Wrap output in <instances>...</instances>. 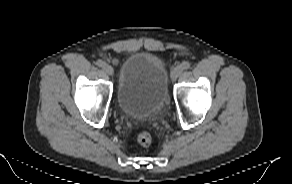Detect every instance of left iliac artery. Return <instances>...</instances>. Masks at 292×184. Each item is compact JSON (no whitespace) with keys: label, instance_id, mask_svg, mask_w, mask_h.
I'll return each instance as SVG.
<instances>
[{"label":"left iliac artery","instance_id":"left-iliac-artery-1","mask_svg":"<svg viewBox=\"0 0 292 184\" xmlns=\"http://www.w3.org/2000/svg\"><path fill=\"white\" fill-rule=\"evenodd\" d=\"M182 70L188 69L190 67V63L189 62H184L180 65Z\"/></svg>","mask_w":292,"mask_h":184}]
</instances>
